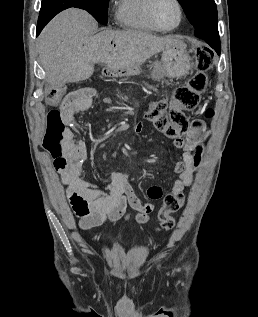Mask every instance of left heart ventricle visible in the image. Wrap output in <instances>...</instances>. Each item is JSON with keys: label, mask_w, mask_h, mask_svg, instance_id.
Here are the masks:
<instances>
[{"label": "left heart ventricle", "mask_w": 258, "mask_h": 317, "mask_svg": "<svg viewBox=\"0 0 258 317\" xmlns=\"http://www.w3.org/2000/svg\"><path fill=\"white\" fill-rule=\"evenodd\" d=\"M153 15L161 27H171L177 22L178 6L174 0H160L154 7Z\"/></svg>", "instance_id": "1"}]
</instances>
